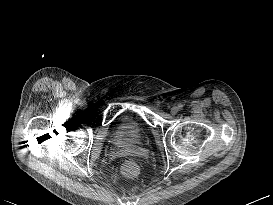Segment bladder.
<instances>
[{
    "label": "bladder",
    "mask_w": 273,
    "mask_h": 205,
    "mask_svg": "<svg viewBox=\"0 0 273 205\" xmlns=\"http://www.w3.org/2000/svg\"><path fill=\"white\" fill-rule=\"evenodd\" d=\"M113 141L120 147H134L144 138L143 127L129 115H120L114 125Z\"/></svg>",
    "instance_id": "bladder-1"
}]
</instances>
